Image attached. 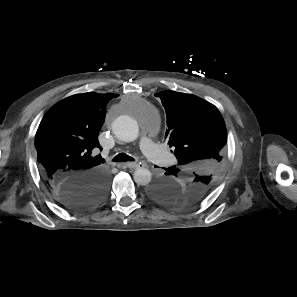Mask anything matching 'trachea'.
<instances>
[{"label":"trachea","mask_w":297,"mask_h":297,"mask_svg":"<svg viewBox=\"0 0 297 297\" xmlns=\"http://www.w3.org/2000/svg\"><path fill=\"white\" fill-rule=\"evenodd\" d=\"M113 162H128V161H135V159L125 153L117 154L113 159Z\"/></svg>","instance_id":"obj_1"}]
</instances>
